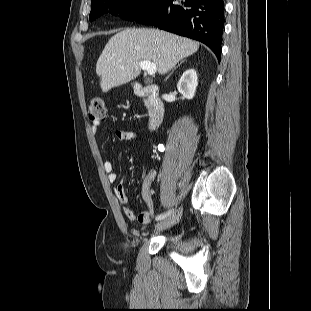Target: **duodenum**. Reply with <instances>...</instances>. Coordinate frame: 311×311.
<instances>
[{
	"label": "duodenum",
	"mask_w": 311,
	"mask_h": 311,
	"mask_svg": "<svg viewBox=\"0 0 311 311\" xmlns=\"http://www.w3.org/2000/svg\"><path fill=\"white\" fill-rule=\"evenodd\" d=\"M132 85L136 96L148 99V127L150 129L156 128L161 123L165 112L159 87L154 84L142 85L139 81H133Z\"/></svg>",
	"instance_id": "obj_1"
}]
</instances>
